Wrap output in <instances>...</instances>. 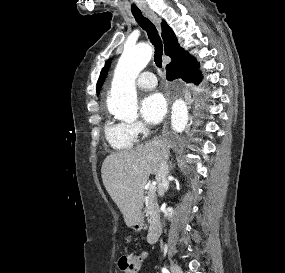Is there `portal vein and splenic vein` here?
Returning <instances> with one entry per match:
<instances>
[{
    "mask_svg": "<svg viewBox=\"0 0 285 273\" xmlns=\"http://www.w3.org/2000/svg\"><path fill=\"white\" fill-rule=\"evenodd\" d=\"M150 190H156V184H152V185L150 186Z\"/></svg>",
    "mask_w": 285,
    "mask_h": 273,
    "instance_id": "obj_1",
    "label": "portal vein and splenic vein"
}]
</instances>
